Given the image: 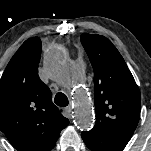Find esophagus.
<instances>
[{"label":"esophagus","instance_id":"obj_1","mask_svg":"<svg viewBox=\"0 0 151 151\" xmlns=\"http://www.w3.org/2000/svg\"><path fill=\"white\" fill-rule=\"evenodd\" d=\"M71 111H72V107H71V106L66 107V112H67L68 114L71 115Z\"/></svg>","mask_w":151,"mask_h":151}]
</instances>
